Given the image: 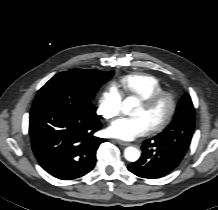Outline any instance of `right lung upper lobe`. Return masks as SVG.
<instances>
[{
	"label": "right lung upper lobe",
	"instance_id": "obj_1",
	"mask_svg": "<svg viewBox=\"0 0 218 210\" xmlns=\"http://www.w3.org/2000/svg\"><path fill=\"white\" fill-rule=\"evenodd\" d=\"M79 70H82V71H85V72H91V73H95V74H101V73L102 74H107V73H109V72H102V71L94 70V69H79Z\"/></svg>",
	"mask_w": 218,
	"mask_h": 210
}]
</instances>
